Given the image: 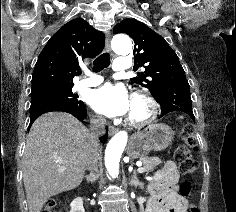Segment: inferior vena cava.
I'll return each mask as SVG.
<instances>
[{
	"instance_id": "1",
	"label": "inferior vena cava",
	"mask_w": 236,
	"mask_h": 212,
	"mask_svg": "<svg viewBox=\"0 0 236 212\" xmlns=\"http://www.w3.org/2000/svg\"><path fill=\"white\" fill-rule=\"evenodd\" d=\"M105 125L106 119L101 116H94L91 119V133L94 138L95 148L92 151L89 163H88V170L90 171V176L98 178V156H99V149H98V137L102 136L105 133Z\"/></svg>"
}]
</instances>
